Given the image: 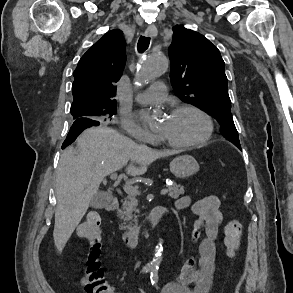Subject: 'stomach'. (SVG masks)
I'll return each instance as SVG.
<instances>
[{
	"mask_svg": "<svg viewBox=\"0 0 293 293\" xmlns=\"http://www.w3.org/2000/svg\"><path fill=\"white\" fill-rule=\"evenodd\" d=\"M199 170V164L191 155L178 156L170 163L171 173L180 179L189 178Z\"/></svg>",
	"mask_w": 293,
	"mask_h": 293,
	"instance_id": "0dacf381",
	"label": "stomach"
}]
</instances>
